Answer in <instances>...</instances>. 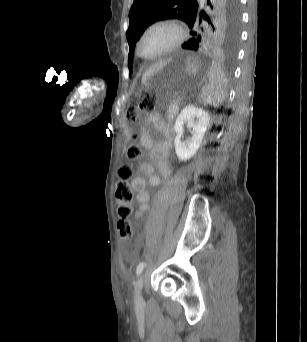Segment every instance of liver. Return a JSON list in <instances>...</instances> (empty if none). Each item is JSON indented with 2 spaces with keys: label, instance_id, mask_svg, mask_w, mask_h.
I'll return each instance as SVG.
<instances>
[{
  "label": "liver",
  "instance_id": "1",
  "mask_svg": "<svg viewBox=\"0 0 307 342\" xmlns=\"http://www.w3.org/2000/svg\"><path fill=\"white\" fill-rule=\"evenodd\" d=\"M164 66H167V62H165V60H160V62H157V64H153V66H151V68H149V70H147L146 74H144L143 80H145V78H147V76H151V74H153V72H158V70H162V68H164Z\"/></svg>",
  "mask_w": 307,
  "mask_h": 342
}]
</instances>
